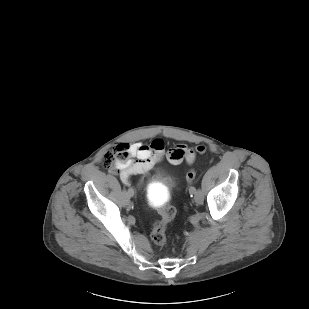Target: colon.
<instances>
[{
  "label": "colon",
  "instance_id": "5ec220e1",
  "mask_svg": "<svg viewBox=\"0 0 309 309\" xmlns=\"http://www.w3.org/2000/svg\"><path fill=\"white\" fill-rule=\"evenodd\" d=\"M173 150V148L169 151ZM198 154H204L206 152V146L201 144L196 147ZM131 155L130 146L125 143H118L112 146L103 156L102 164L108 170H114L126 163ZM196 177V171L191 168L186 173V181L188 184H192ZM175 217V211L170 206H163L161 209V218L157 221L151 230V239L158 245L163 246L166 244V231L168 225Z\"/></svg>",
  "mask_w": 309,
  "mask_h": 309
}]
</instances>
